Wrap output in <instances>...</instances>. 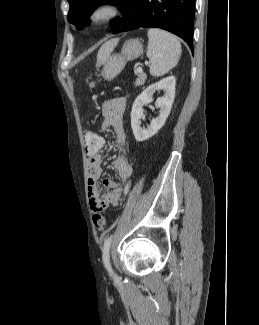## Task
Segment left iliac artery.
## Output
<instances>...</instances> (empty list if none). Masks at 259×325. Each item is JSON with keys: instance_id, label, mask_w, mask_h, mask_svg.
<instances>
[{"instance_id": "1", "label": "left iliac artery", "mask_w": 259, "mask_h": 325, "mask_svg": "<svg viewBox=\"0 0 259 325\" xmlns=\"http://www.w3.org/2000/svg\"><path fill=\"white\" fill-rule=\"evenodd\" d=\"M127 192L128 191H126V193ZM111 241H112V236L108 237L104 241V246H103V250H102L103 262H104V265H105V267H106V269L108 270L109 273L112 272L111 265H110V259H109V251H110Z\"/></svg>"}]
</instances>
